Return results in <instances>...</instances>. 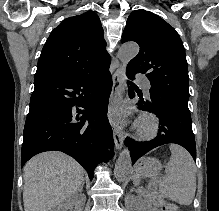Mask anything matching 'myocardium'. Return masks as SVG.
<instances>
[{"label": "myocardium", "instance_id": "f54148a6", "mask_svg": "<svg viewBox=\"0 0 219 211\" xmlns=\"http://www.w3.org/2000/svg\"><path fill=\"white\" fill-rule=\"evenodd\" d=\"M159 118L153 113L143 115L136 124L138 134L142 137H152L159 127Z\"/></svg>", "mask_w": 219, "mask_h": 211}]
</instances>
